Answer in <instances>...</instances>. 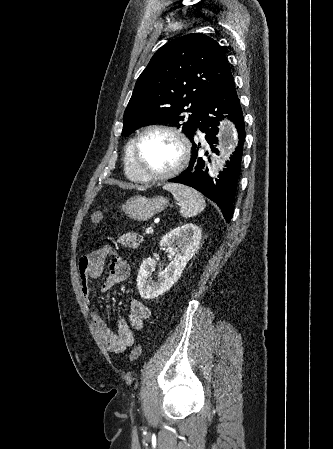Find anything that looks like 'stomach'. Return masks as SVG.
Returning <instances> with one entry per match:
<instances>
[{
    "instance_id": "1",
    "label": "stomach",
    "mask_w": 333,
    "mask_h": 449,
    "mask_svg": "<svg viewBox=\"0 0 333 449\" xmlns=\"http://www.w3.org/2000/svg\"><path fill=\"white\" fill-rule=\"evenodd\" d=\"M168 204L163 196L146 198L135 196L126 201L122 206L124 214L132 220L147 221L156 213L162 211Z\"/></svg>"
}]
</instances>
